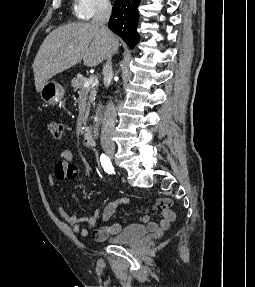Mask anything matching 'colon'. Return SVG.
<instances>
[{
	"label": "colon",
	"mask_w": 255,
	"mask_h": 287,
	"mask_svg": "<svg viewBox=\"0 0 255 287\" xmlns=\"http://www.w3.org/2000/svg\"><path fill=\"white\" fill-rule=\"evenodd\" d=\"M49 133L54 137V138H60L63 132V127L60 123L58 122H50L47 125Z\"/></svg>",
	"instance_id": "obj_1"
}]
</instances>
